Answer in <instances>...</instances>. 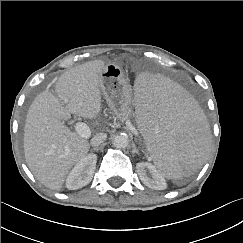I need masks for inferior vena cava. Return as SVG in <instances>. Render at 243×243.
Here are the masks:
<instances>
[{"instance_id":"1","label":"inferior vena cava","mask_w":243,"mask_h":243,"mask_svg":"<svg viewBox=\"0 0 243 243\" xmlns=\"http://www.w3.org/2000/svg\"><path fill=\"white\" fill-rule=\"evenodd\" d=\"M106 138L107 135L105 133H99L91 139V145L99 146L101 143H103L106 140Z\"/></svg>"}]
</instances>
